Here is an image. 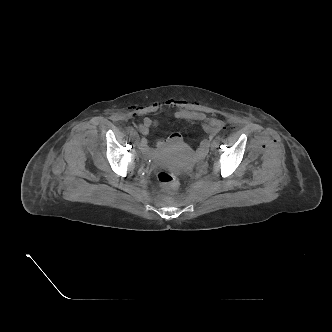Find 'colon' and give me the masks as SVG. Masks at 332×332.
<instances>
[{
	"instance_id": "colon-1",
	"label": "colon",
	"mask_w": 332,
	"mask_h": 332,
	"mask_svg": "<svg viewBox=\"0 0 332 332\" xmlns=\"http://www.w3.org/2000/svg\"><path fill=\"white\" fill-rule=\"evenodd\" d=\"M157 179L159 183L166 188L168 191H174L178 188L179 186V179L178 177L168 171H160L157 174Z\"/></svg>"
}]
</instances>
